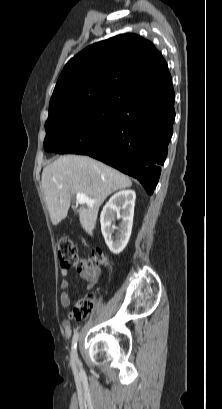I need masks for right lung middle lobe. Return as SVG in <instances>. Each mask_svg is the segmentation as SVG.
Instances as JSON below:
<instances>
[{
	"mask_svg": "<svg viewBox=\"0 0 222 409\" xmlns=\"http://www.w3.org/2000/svg\"><path fill=\"white\" fill-rule=\"evenodd\" d=\"M118 103L76 104L49 113L44 149L59 154L87 155L106 138Z\"/></svg>",
	"mask_w": 222,
	"mask_h": 409,
	"instance_id": "dd1d6c3e",
	"label": "right lung middle lobe"
}]
</instances>
